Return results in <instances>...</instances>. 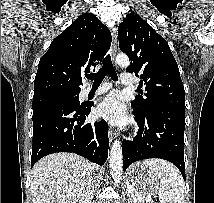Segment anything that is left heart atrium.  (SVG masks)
Segmentation results:
<instances>
[{
  "label": "left heart atrium",
  "mask_w": 214,
  "mask_h": 203,
  "mask_svg": "<svg viewBox=\"0 0 214 203\" xmlns=\"http://www.w3.org/2000/svg\"><path fill=\"white\" fill-rule=\"evenodd\" d=\"M98 115L111 123L123 124L127 121L124 104L118 93H111L98 106Z\"/></svg>",
  "instance_id": "obj_1"
}]
</instances>
